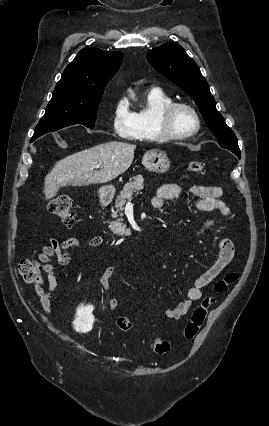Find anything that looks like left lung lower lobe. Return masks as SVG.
Wrapping results in <instances>:
<instances>
[{"label":"left lung lower lobe","instance_id":"1","mask_svg":"<svg viewBox=\"0 0 269 426\" xmlns=\"http://www.w3.org/2000/svg\"><path fill=\"white\" fill-rule=\"evenodd\" d=\"M236 155L240 158V153H237Z\"/></svg>","mask_w":269,"mask_h":426}]
</instances>
